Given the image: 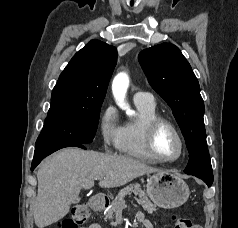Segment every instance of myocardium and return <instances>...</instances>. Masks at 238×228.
I'll return each mask as SVG.
<instances>
[{
    "instance_id": "myocardium-1",
    "label": "myocardium",
    "mask_w": 238,
    "mask_h": 228,
    "mask_svg": "<svg viewBox=\"0 0 238 228\" xmlns=\"http://www.w3.org/2000/svg\"><path fill=\"white\" fill-rule=\"evenodd\" d=\"M168 128L171 130L173 135L175 136L178 144H179V153L174 158H163L161 157L155 147L156 137L161 129ZM145 144L150 155L161 163H171L179 160L185 150V143L181 133L178 128L168 119L163 117H158L152 121H150L146 126V134H145Z\"/></svg>"
}]
</instances>
